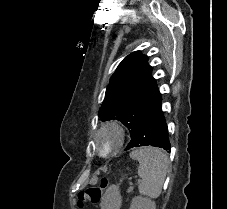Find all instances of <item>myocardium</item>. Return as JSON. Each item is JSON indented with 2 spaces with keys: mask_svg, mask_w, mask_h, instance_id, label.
I'll return each instance as SVG.
<instances>
[{
  "mask_svg": "<svg viewBox=\"0 0 227 209\" xmlns=\"http://www.w3.org/2000/svg\"><path fill=\"white\" fill-rule=\"evenodd\" d=\"M106 129H113L117 134V144L113 149L107 152H102L97 146V137ZM126 139V131L124 126L117 120H105L103 121L92 134V145L95 152L101 157H109L120 151Z\"/></svg>",
  "mask_w": 227,
  "mask_h": 209,
  "instance_id": "f54148a6",
  "label": "myocardium"
}]
</instances>
